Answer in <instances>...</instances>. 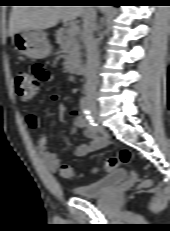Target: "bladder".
Returning a JSON list of instances; mask_svg holds the SVG:
<instances>
[{"label":"bladder","instance_id":"obj_1","mask_svg":"<svg viewBox=\"0 0 170 231\" xmlns=\"http://www.w3.org/2000/svg\"><path fill=\"white\" fill-rule=\"evenodd\" d=\"M127 178L128 173L125 169H117L97 181L74 187L73 192L83 198L99 197L123 184Z\"/></svg>","mask_w":170,"mask_h":231}]
</instances>
